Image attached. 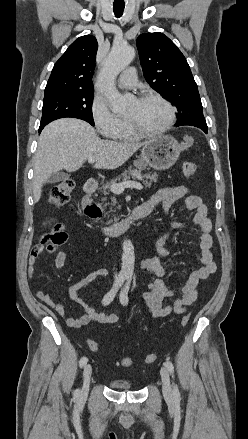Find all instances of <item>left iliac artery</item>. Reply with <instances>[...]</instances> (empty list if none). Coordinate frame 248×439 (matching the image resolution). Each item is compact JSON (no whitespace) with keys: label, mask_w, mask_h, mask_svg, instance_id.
<instances>
[{"label":"left iliac artery","mask_w":248,"mask_h":439,"mask_svg":"<svg viewBox=\"0 0 248 439\" xmlns=\"http://www.w3.org/2000/svg\"><path fill=\"white\" fill-rule=\"evenodd\" d=\"M131 277H132L131 275L127 276V283L125 284L124 288L121 290V293H120V301H121V303L123 305H127L128 304V296H127V294H128V291H129ZM164 365L167 368V370L169 371V373L173 375V373H174V366H173L172 362L167 360L164 363ZM173 394H174L175 397H178L180 395L178 387L175 384L173 386Z\"/></svg>","instance_id":"obj_1"}]
</instances>
